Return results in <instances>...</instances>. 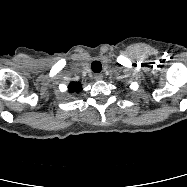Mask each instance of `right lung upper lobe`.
Returning a JSON list of instances; mask_svg holds the SVG:
<instances>
[{"label":"right lung upper lobe","mask_w":187,"mask_h":187,"mask_svg":"<svg viewBox=\"0 0 187 187\" xmlns=\"http://www.w3.org/2000/svg\"><path fill=\"white\" fill-rule=\"evenodd\" d=\"M81 90V84L77 82H72L69 85V91L70 92H75Z\"/></svg>","instance_id":"right-lung-upper-lobe-1"}]
</instances>
